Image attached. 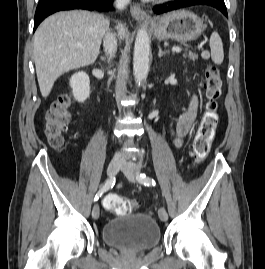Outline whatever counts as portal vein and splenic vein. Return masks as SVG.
I'll return each mask as SVG.
<instances>
[{
    "instance_id": "1",
    "label": "portal vein and splenic vein",
    "mask_w": 265,
    "mask_h": 269,
    "mask_svg": "<svg viewBox=\"0 0 265 269\" xmlns=\"http://www.w3.org/2000/svg\"><path fill=\"white\" fill-rule=\"evenodd\" d=\"M172 51H173V52H176V53H179V52L182 51V48H180V47H173V48H172Z\"/></svg>"
}]
</instances>
